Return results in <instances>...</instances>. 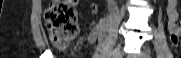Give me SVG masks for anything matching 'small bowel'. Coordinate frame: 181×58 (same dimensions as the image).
Wrapping results in <instances>:
<instances>
[{
    "label": "small bowel",
    "instance_id": "c3829d8e",
    "mask_svg": "<svg viewBox=\"0 0 181 58\" xmlns=\"http://www.w3.org/2000/svg\"><path fill=\"white\" fill-rule=\"evenodd\" d=\"M92 11H95V6H92ZM168 29L170 39L173 45L178 46V41L181 36V14L178 8L177 0H169L167 5ZM93 39V37H92Z\"/></svg>",
    "mask_w": 181,
    "mask_h": 58
}]
</instances>
